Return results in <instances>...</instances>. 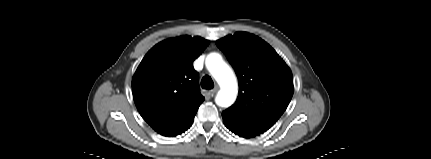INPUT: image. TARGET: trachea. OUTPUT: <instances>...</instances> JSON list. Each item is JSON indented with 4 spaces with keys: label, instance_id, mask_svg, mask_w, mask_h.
Instances as JSON below:
<instances>
[{
    "label": "trachea",
    "instance_id": "obj_1",
    "mask_svg": "<svg viewBox=\"0 0 431 159\" xmlns=\"http://www.w3.org/2000/svg\"><path fill=\"white\" fill-rule=\"evenodd\" d=\"M201 87L203 89H212L214 87V82L210 76H204L201 80Z\"/></svg>",
    "mask_w": 431,
    "mask_h": 159
}]
</instances>
